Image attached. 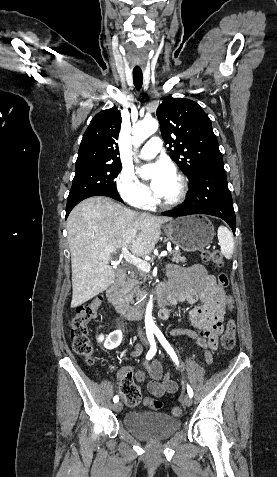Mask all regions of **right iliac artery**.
<instances>
[{
  "instance_id": "right-iliac-artery-1",
  "label": "right iliac artery",
  "mask_w": 277,
  "mask_h": 477,
  "mask_svg": "<svg viewBox=\"0 0 277 477\" xmlns=\"http://www.w3.org/2000/svg\"><path fill=\"white\" fill-rule=\"evenodd\" d=\"M147 338L150 342V350L148 351L147 355H146V359L147 360H150L156 353V344H155V340H154V336H153V330H148L147 331ZM113 401L116 403L119 401V397L118 396H115L113 398Z\"/></svg>"
}]
</instances>
